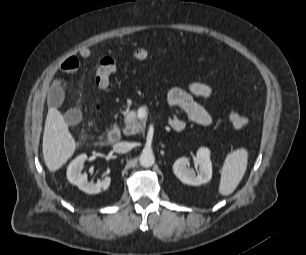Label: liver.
I'll return each instance as SVG.
<instances>
[{"mask_svg":"<svg viewBox=\"0 0 306 255\" xmlns=\"http://www.w3.org/2000/svg\"><path fill=\"white\" fill-rule=\"evenodd\" d=\"M77 144L61 112L48 109L43 134V157L49 171L60 169L74 154Z\"/></svg>","mask_w":306,"mask_h":255,"instance_id":"6515ba94","label":"liver"}]
</instances>
